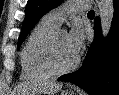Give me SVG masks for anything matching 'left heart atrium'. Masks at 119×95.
<instances>
[{"label": "left heart atrium", "mask_w": 119, "mask_h": 95, "mask_svg": "<svg viewBox=\"0 0 119 95\" xmlns=\"http://www.w3.org/2000/svg\"><path fill=\"white\" fill-rule=\"evenodd\" d=\"M67 42L72 53L77 57L84 47L85 31L79 22H75L67 34Z\"/></svg>", "instance_id": "39dd6f15"}]
</instances>
